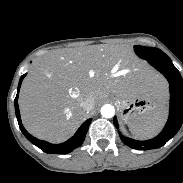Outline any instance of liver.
<instances>
[{"mask_svg":"<svg viewBox=\"0 0 183 183\" xmlns=\"http://www.w3.org/2000/svg\"><path fill=\"white\" fill-rule=\"evenodd\" d=\"M131 68L133 72L121 73ZM109 93L148 95L164 105L167 83L138 63L127 47L91 45L59 50L35 61L23 81L19 95L23 124L39 139L63 142ZM86 94L94 99L89 110L80 106Z\"/></svg>","mask_w":183,"mask_h":183,"instance_id":"liver-1","label":"liver"}]
</instances>
